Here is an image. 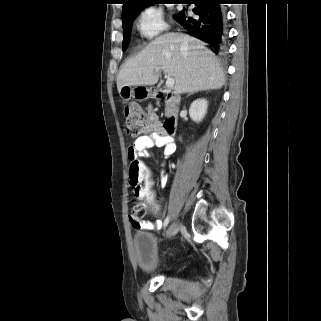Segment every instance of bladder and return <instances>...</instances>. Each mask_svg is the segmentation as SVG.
I'll use <instances>...</instances> for the list:
<instances>
[{"mask_svg":"<svg viewBox=\"0 0 321 321\" xmlns=\"http://www.w3.org/2000/svg\"><path fill=\"white\" fill-rule=\"evenodd\" d=\"M133 250L139 267L154 273L159 267L158 239L150 232H137L132 238Z\"/></svg>","mask_w":321,"mask_h":321,"instance_id":"31cf9c89","label":"bladder"}]
</instances>
